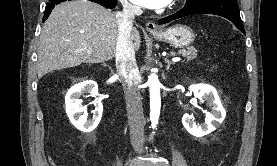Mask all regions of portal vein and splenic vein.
Returning a JSON list of instances; mask_svg holds the SVG:
<instances>
[{
    "mask_svg": "<svg viewBox=\"0 0 277 166\" xmlns=\"http://www.w3.org/2000/svg\"><path fill=\"white\" fill-rule=\"evenodd\" d=\"M88 52L90 53V51L88 50ZM181 58L180 57H175V58H172V61L173 62H177V61H180Z\"/></svg>",
    "mask_w": 277,
    "mask_h": 166,
    "instance_id": "obj_1",
    "label": "portal vein and splenic vein"
}]
</instances>
